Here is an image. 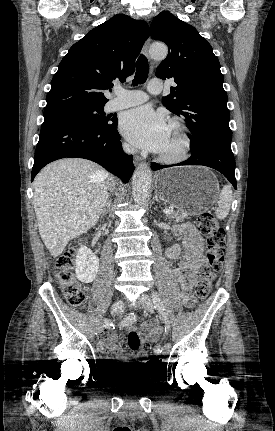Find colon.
I'll list each match as a JSON object with an SVG mask.
<instances>
[{
  "instance_id": "5ec220e1",
  "label": "colon",
  "mask_w": 275,
  "mask_h": 431,
  "mask_svg": "<svg viewBox=\"0 0 275 431\" xmlns=\"http://www.w3.org/2000/svg\"><path fill=\"white\" fill-rule=\"evenodd\" d=\"M199 230L207 236V265L199 271L196 283L195 294L197 299H205L211 289V284L215 277V271L219 270L223 264L225 254V235L223 228L211 213H203L198 218ZM75 249H70L61 255L56 263L54 275L59 288L65 299L75 307H81L85 300V288L81 285L75 275ZM128 345L131 350L148 353L151 350V343L142 342L136 331L128 334ZM151 365L158 363L156 357L149 360Z\"/></svg>"
}]
</instances>
